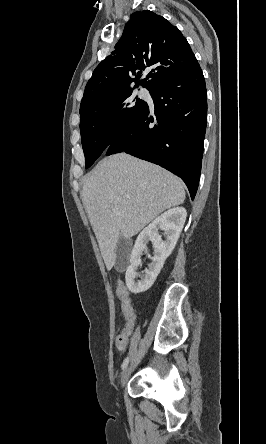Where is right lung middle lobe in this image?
<instances>
[{
  "instance_id": "dd1d6c3e",
  "label": "right lung middle lobe",
  "mask_w": 266,
  "mask_h": 444,
  "mask_svg": "<svg viewBox=\"0 0 266 444\" xmlns=\"http://www.w3.org/2000/svg\"><path fill=\"white\" fill-rule=\"evenodd\" d=\"M148 104L125 89L101 96L80 107V131L85 168L107 149L114 138L147 109Z\"/></svg>"
}]
</instances>
